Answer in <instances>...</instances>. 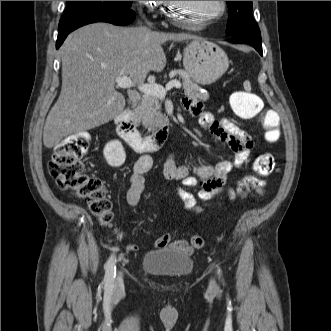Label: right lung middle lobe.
<instances>
[{"instance_id":"dd1d6c3e","label":"right lung middle lobe","mask_w":331,"mask_h":331,"mask_svg":"<svg viewBox=\"0 0 331 331\" xmlns=\"http://www.w3.org/2000/svg\"><path fill=\"white\" fill-rule=\"evenodd\" d=\"M132 1H67L66 11L59 28L81 18L114 10L129 9Z\"/></svg>"}]
</instances>
